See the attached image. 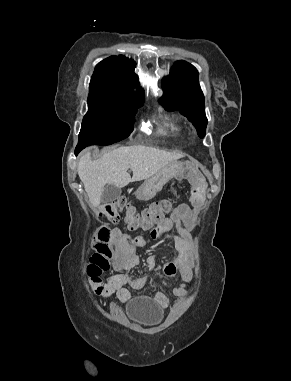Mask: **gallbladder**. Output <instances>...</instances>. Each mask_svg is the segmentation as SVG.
<instances>
[{"label": "gallbladder", "mask_w": 291, "mask_h": 381, "mask_svg": "<svg viewBox=\"0 0 291 381\" xmlns=\"http://www.w3.org/2000/svg\"><path fill=\"white\" fill-rule=\"evenodd\" d=\"M121 195V189L115 185L108 184L105 186L102 197H101V202L102 203H109L113 202L116 199H118Z\"/></svg>", "instance_id": "gallbladder-1"}]
</instances>
